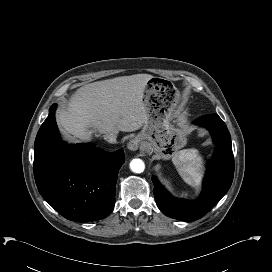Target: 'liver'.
<instances>
[{
    "mask_svg": "<svg viewBox=\"0 0 272 272\" xmlns=\"http://www.w3.org/2000/svg\"><path fill=\"white\" fill-rule=\"evenodd\" d=\"M153 76L135 74L97 81L79 88L58 120L63 129L80 141L100 134L131 132L148 120L143 92Z\"/></svg>",
    "mask_w": 272,
    "mask_h": 272,
    "instance_id": "obj_1",
    "label": "liver"
}]
</instances>
